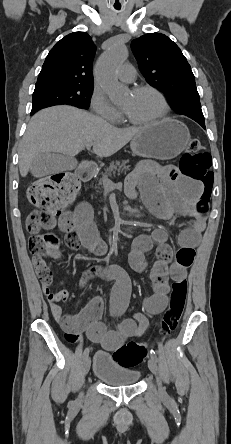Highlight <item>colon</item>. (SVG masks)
I'll return each mask as SVG.
<instances>
[{"mask_svg": "<svg viewBox=\"0 0 231 444\" xmlns=\"http://www.w3.org/2000/svg\"><path fill=\"white\" fill-rule=\"evenodd\" d=\"M181 173L191 180L202 183L207 189L202 193L200 209L204 210L210 197L208 188L213 182L211 157L200 141L192 139L181 157ZM79 183L71 174H54L39 179L31 184L28 190L30 203L38 208L32 212L26 223L30 234L29 248L33 258L43 259L45 256L58 257L60 245L58 239L49 233H41L55 226L56 218L73 202ZM43 288L52 286V272L47 268L39 273ZM187 281L185 278L174 280L168 309L161 322L160 332L163 337L172 334L178 326L187 297ZM147 355V347L136 342H129L114 351V358L122 365L133 367L140 364Z\"/></svg>", "mask_w": 231, "mask_h": 444, "instance_id": "5ec220e1", "label": "colon"}]
</instances>
